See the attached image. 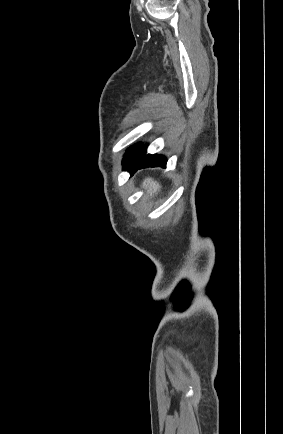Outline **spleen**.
Masks as SVG:
<instances>
[{"instance_id": "spleen-1", "label": "spleen", "mask_w": 283, "mask_h": 434, "mask_svg": "<svg viewBox=\"0 0 283 434\" xmlns=\"http://www.w3.org/2000/svg\"><path fill=\"white\" fill-rule=\"evenodd\" d=\"M143 185L149 187L148 192L150 193L151 196L153 193H156L157 191L160 190L159 184L152 181V179H150V178L145 179V181L143 182Z\"/></svg>"}]
</instances>
